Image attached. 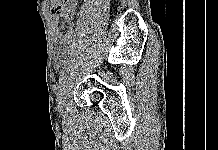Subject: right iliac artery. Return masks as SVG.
Returning <instances> with one entry per match:
<instances>
[{"mask_svg":"<svg viewBox=\"0 0 218 150\" xmlns=\"http://www.w3.org/2000/svg\"><path fill=\"white\" fill-rule=\"evenodd\" d=\"M70 67H71V62H68V63L66 64V66L64 67V70H63V72H62V74H61V77H60V79H59V84H60V85L64 82L65 73L70 69ZM59 87H60V86H59Z\"/></svg>","mask_w":218,"mask_h":150,"instance_id":"82829eb1","label":"right iliac artery"}]
</instances>
